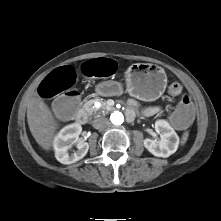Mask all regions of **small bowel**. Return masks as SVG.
Instances as JSON below:
<instances>
[{"instance_id": "1", "label": "small bowel", "mask_w": 221, "mask_h": 221, "mask_svg": "<svg viewBox=\"0 0 221 221\" xmlns=\"http://www.w3.org/2000/svg\"><path fill=\"white\" fill-rule=\"evenodd\" d=\"M130 104H131V106H136V103H135V102H131ZM159 112H160V108L157 107V106H150V107L145 108V109L142 111V113H143L145 116H152V115H155V114H157V113H159ZM131 115H132V112L130 111V112H129V116H131Z\"/></svg>"}]
</instances>
